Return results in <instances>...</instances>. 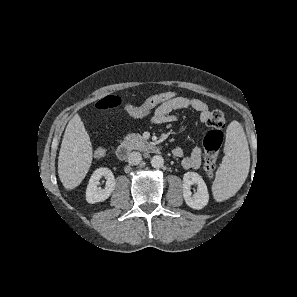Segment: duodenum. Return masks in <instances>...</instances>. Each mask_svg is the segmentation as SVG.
<instances>
[{
	"instance_id": "410a0bca",
	"label": "duodenum",
	"mask_w": 297,
	"mask_h": 297,
	"mask_svg": "<svg viewBox=\"0 0 297 297\" xmlns=\"http://www.w3.org/2000/svg\"><path fill=\"white\" fill-rule=\"evenodd\" d=\"M146 151L150 153L157 154L160 152V149L158 146L148 143L145 146ZM132 147L128 143H122L120 144L116 149V156L119 161H125L128 159L129 155L131 154Z\"/></svg>"
}]
</instances>
